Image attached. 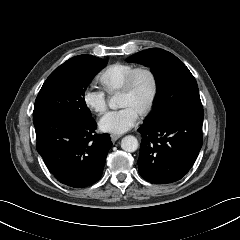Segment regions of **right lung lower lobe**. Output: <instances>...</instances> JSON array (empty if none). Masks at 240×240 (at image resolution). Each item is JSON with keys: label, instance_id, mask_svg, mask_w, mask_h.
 Here are the masks:
<instances>
[{"label": "right lung lower lobe", "instance_id": "right-lung-lower-lobe-1", "mask_svg": "<svg viewBox=\"0 0 240 240\" xmlns=\"http://www.w3.org/2000/svg\"><path fill=\"white\" fill-rule=\"evenodd\" d=\"M33 122L37 151L59 182L84 188L100 179L112 142L107 133L94 134L93 118L40 115L33 117Z\"/></svg>", "mask_w": 240, "mask_h": 240}]
</instances>
